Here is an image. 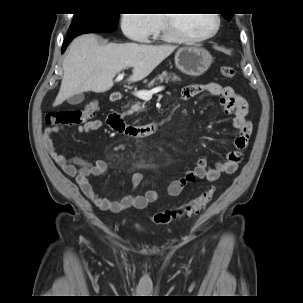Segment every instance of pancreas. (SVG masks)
I'll list each match as a JSON object with an SVG mask.
<instances>
[{"label": "pancreas", "mask_w": 303, "mask_h": 303, "mask_svg": "<svg viewBox=\"0 0 303 303\" xmlns=\"http://www.w3.org/2000/svg\"><path fill=\"white\" fill-rule=\"evenodd\" d=\"M156 81L162 83L163 81H181V79L175 73L163 72L162 74H159L156 78L151 80L148 83L147 87L150 88L154 86ZM127 107L129 109L126 111V115H132L133 113H138L144 110V107L141 105V103L136 101H130Z\"/></svg>", "instance_id": "pancreas-1"}]
</instances>
